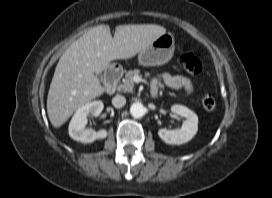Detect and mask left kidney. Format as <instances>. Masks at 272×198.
Wrapping results in <instances>:
<instances>
[{"label": "left kidney", "mask_w": 272, "mask_h": 198, "mask_svg": "<svg viewBox=\"0 0 272 198\" xmlns=\"http://www.w3.org/2000/svg\"><path fill=\"white\" fill-rule=\"evenodd\" d=\"M171 111L185 118L180 129L168 130L165 128L158 130V136L167 144H183L190 141L198 130V117L183 105H173Z\"/></svg>", "instance_id": "obj_1"}]
</instances>
